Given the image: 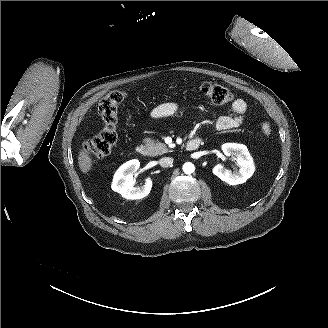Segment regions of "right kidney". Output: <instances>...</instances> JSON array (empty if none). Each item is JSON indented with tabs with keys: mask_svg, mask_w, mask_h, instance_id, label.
Returning a JSON list of instances; mask_svg holds the SVG:
<instances>
[{
	"mask_svg": "<svg viewBox=\"0 0 328 328\" xmlns=\"http://www.w3.org/2000/svg\"><path fill=\"white\" fill-rule=\"evenodd\" d=\"M140 162L137 159L129 160L122 164L113 176L111 188L126 199H142L146 197L152 188V180L147 178L141 187H134L133 174L139 169Z\"/></svg>",
	"mask_w": 328,
	"mask_h": 328,
	"instance_id": "obj_1",
	"label": "right kidney"
}]
</instances>
